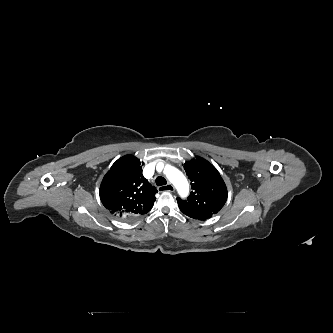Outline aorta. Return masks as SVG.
I'll return each mask as SVG.
<instances>
[{
  "instance_id": "obj_1",
  "label": "aorta",
  "mask_w": 333,
  "mask_h": 333,
  "mask_svg": "<svg viewBox=\"0 0 333 333\" xmlns=\"http://www.w3.org/2000/svg\"><path fill=\"white\" fill-rule=\"evenodd\" d=\"M164 172L168 180L176 187L179 195L186 197L189 193V183L184 174L172 166H166Z\"/></svg>"
}]
</instances>
